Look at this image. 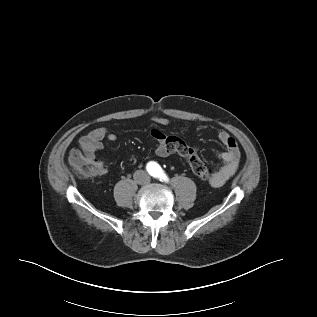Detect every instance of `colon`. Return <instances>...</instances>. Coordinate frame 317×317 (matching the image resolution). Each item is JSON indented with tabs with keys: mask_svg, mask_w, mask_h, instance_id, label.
<instances>
[{
	"mask_svg": "<svg viewBox=\"0 0 317 317\" xmlns=\"http://www.w3.org/2000/svg\"><path fill=\"white\" fill-rule=\"evenodd\" d=\"M178 153L186 159L194 176L201 181L211 180V170L199 158L193 148L188 146L183 150H179ZM73 169L80 177L90 178L97 175V167L95 163L85 158L77 157L73 163Z\"/></svg>",
	"mask_w": 317,
	"mask_h": 317,
	"instance_id": "1",
	"label": "colon"
}]
</instances>
